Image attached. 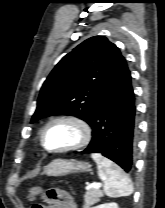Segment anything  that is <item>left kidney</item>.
<instances>
[{"instance_id": "obj_1", "label": "left kidney", "mask_w": 165, "mask_h": 208, "mask_svg": "<svg viewBox=\"0 0 165 208\" xmlns=\"http://www.w3.org/2000/svg\"><path fill=\"white\" fill-rule=\"evenodd\" d=\"M93 208H119L117 203H105L98 206H95Z\"/></svg>"}]
</instances>
